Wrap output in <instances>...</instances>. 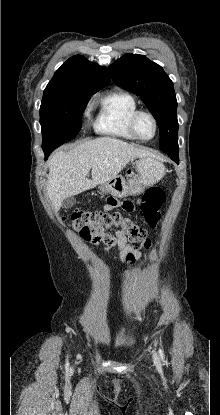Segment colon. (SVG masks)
Masks as SVG:
<instances>
[{
    "mask_svg": "<svg viewBox=\"0 0 220 415\" xmlns=\"http://www.w3.org/2000/svg\"><path fill=\"white\" fill-rule=\"evenodd\" d=\"M164 202V195L157 187H150L143 196L141 213L145 224L154 228L160 220V208ZM120 208L126 210L133 206L132 202L125 200L120 203ZM68 225L74 229H80L83 233L90 231L100 232L105 228L117 227L129 239L135 249L150 250L152 245L147 236V231L133 219L116 211L76 210L65 218ZM134 254L128 253L127 261H132Z\"/></svg>",
    "mask_w": 220,
    "mask_h": 415,
    "instance_id": "colon-1",
    "label": "colon"
}]
</instances>
